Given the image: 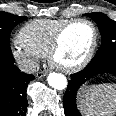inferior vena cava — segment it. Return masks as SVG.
Segmentation results:
<instances>
[{
	"label": "inferior vena cava",
	"instance_id": "1",
	"mask_svg": "<svg viewBox=\"0 0 116 116\" xmlns=\"http://www.w3.org/2000/svg\"><path fill=\"white\" fill-rule=\"evenodd\" d=\"M18 64L20 70L25 73H35L39 70V65L34 61L25 60L20 61Z\"/></svg>",
	"mask_w": 116,
	"mask_h": 116
}]
</instances>
